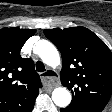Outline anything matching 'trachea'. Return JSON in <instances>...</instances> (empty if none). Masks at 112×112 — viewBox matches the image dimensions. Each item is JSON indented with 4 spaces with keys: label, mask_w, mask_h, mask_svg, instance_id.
<instances>
[{
    "label": "trachea",
    "mask_w": 112,
    "mask_h": 112,
    "mask_svg": "<svg viewBox=\"0 0 112 112\" xmlns=\"http://www.w3.org/2000/svg\"><path fill=\"white\" fill-rule=\"evenodd\" d=\"M36 70L38 72H44L45 71V66L41 61L36 62Z\"/></svg>",
    "instance_id": "3493384b"
}]
</instances>
